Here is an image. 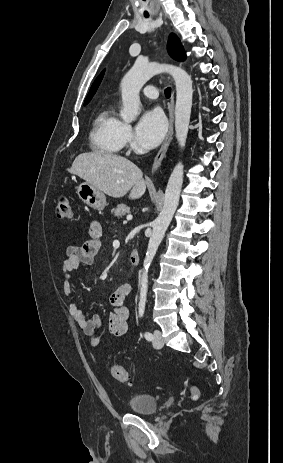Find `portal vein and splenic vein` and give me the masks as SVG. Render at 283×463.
<instances>
[{"label":"portal vein and splenic vein","mask_w":283,"mask_h":463,"mask_svg":"<svg viewBox=\"0 0 283 463\" xmlns=\"http://www.w3.org/2000/svg\"><path fill=\"white\" fill-rule=\"evenodd\" d=\"M133 216L131 214L127 215L126 219L127 221L132 220Z\"/></svg>","instance_id":"obj_1"}]
</instances>
